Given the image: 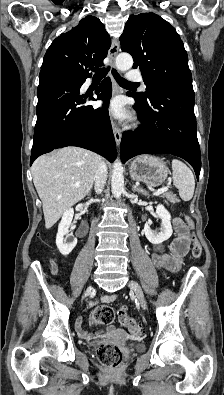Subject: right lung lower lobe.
Wrapping results in <instances>:
<instances>
[{
	"mask_svg": "<svg viewBox=\"0 0 224 395\" xmlns=\"http://www.w3.org/2000/svg\"><path fill=\"white\" fill-rule=\"evenodd\" d=\"M86 78L76 79L52 67L41 69L30 165L38 156L65 146L89 149L114 161L115 141L107 109L112 91L110 79L106 78L96 90L104 103L94 109L83 105L87 100H96L93 95L79 94Z\"/></svg>",
	"mask_w": 224,
	"mask_h": 395,
	"instance_id": "1",
	"label": "right lung lower lobe"
}]
</instances>
